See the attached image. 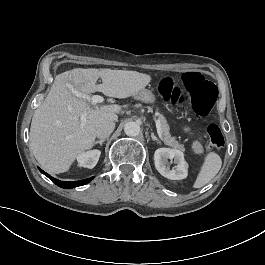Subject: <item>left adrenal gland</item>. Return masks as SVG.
Segmentation results:
<instances>
[{"label": "left adrenal gland", "instance_id": "obj_1", "mask_svg": "<svg viewBox=\"0 0 265 265\" xmlns=\"http://www.w3.org/2000/svg\"><path fill=\"white\" fill-rule=\"evenodd\" d=\"M152 140L157 141V143L161 144V141L154 135V133H151Z\"/></svg>", "mask_w": 265, "mask_h": 265}]
</instances>
